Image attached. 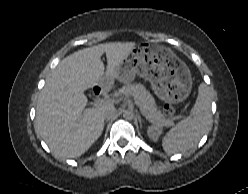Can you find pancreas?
<instances>
[{
    "label": "pancreas",
    "mask_w": 248,
    "mask_h": 194,
    "mask_svg": "<svg viewBox=\"0 0 248 194\" xmlns=\"http://www.w3.org/2000/svg\"><path fill=\"white\" fill-rule=\"evenodd\" d=\"M119 95L133 96L139 102V108L146 118L157 124L163 126H171L172 119L166 118L160 110H158L155 100L150 92L142 84H129L123 86L119 91Z\"/></svg>",
    "instance_id": "cf45deb5"
}]
</instances>
